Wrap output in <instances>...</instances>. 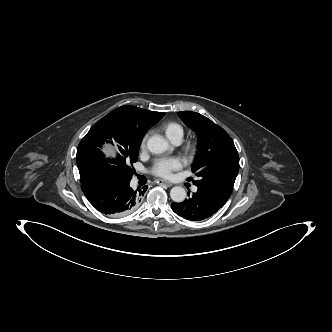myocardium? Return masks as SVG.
<instances>
[{
  "mask_svg": "<svg viewBox=\"0 0 332 332\" xmlns=\"http://www.w3.org/2000/svg\"><path fill=\"white\" fill-rule=\"evenodd\" d=\"M198 150V144L196 142H189L184 146V152L187 156L193 157Z\"/></svg>",
  "mask_w": 332,
  "mask_h": 332,
  "instance_id": "obj_1",
  "label": "myocardium"
}]
</instances>
